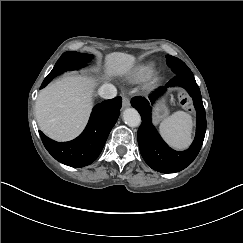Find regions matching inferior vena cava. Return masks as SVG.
Returning a JSON list of instances; mask_svg holds the SVG:
<instances>
[{
  "instance_id": "inferior-vena-cava-1",
  "label": "inferior vena cava",
  "mask_w": 243,
  "mask_h": 243,
  "mask_svg": "<svg viewBox=\"0 0 243 243\" xmlns=\"http://www.w3.org/2000/svg\"><path fill=\"white\" fill-rule=\"evenodd\" d=\"M98 94L104 99H112L117 95V89L112 84H103L99 88Z\"/></svg>"
}]
</instances>
